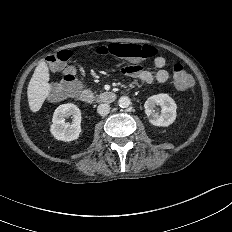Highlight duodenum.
Masks as SVG:
<instances>
[{
	"mask_svg": "<svg viewBox=\"0 0 232 232\" xmlns=\"http://www.w3.org/2000/svg\"><path fill=\"white\" fill-rule=\"evenodd\" d=\"M79 99L86 104H91L94 102L101 103H112L117 99V93L111 91L101 92L99 94H95L90 90L83 89L78 94Z\"/></svg>",
	"mask_w": 232,
	"mask_h": 232,
	"instance_id": "obj_1",
	"label": "duodenum"
}]
</instances>
